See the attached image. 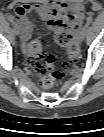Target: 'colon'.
<instances>
[{
  "mask_svg": "<svg viewBox=\"0 0 104 137\" xmlns=\"http://www.w3.org/2000/svg\"><path fill=\"white\" fill-rule=\"evenodd\" d=\"M56 42L64 47L67 52L66 66L75 62L79 55V47L71 33L66 29H57ZM28 63L40 77V85L43 89H50L60 78L54 69L53 58L43 53L40 40L30 41L28 44Z\"/></svg>",
  "mask_w": 104,
  "mask_h": 137,
  "instance_id": "obj_1",
  "label": "colon"
}]
</instances>
